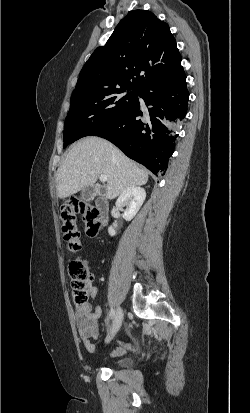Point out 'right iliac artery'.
I'll list each match as a JSON object with an SVG mask.
<instances>
[{
  "instance_id": "right-iliac-artery-1",
  "label": "right iliac artery",
  "mask_w": 250,
  "mask_h": 413,
  "mask_svg": "<svg viewBox=\"0 0 250 413\" xmlns=\"http://www.w3.org/2000/svg\"><path fill=\"white\" fill-rule=\"evenodd\" d=\"M115 315V311L111 308L109 311V319L112 320Z\"/></svg>"
}]
</instances>
